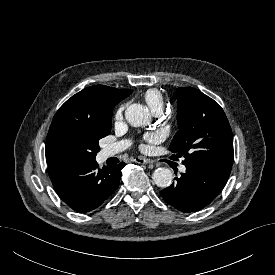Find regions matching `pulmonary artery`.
<instances>
[{
	"label": "pulmonary artery",
	"mask_w": 275,
	"mask_h": 275,
	"mask_svg": "<svg viewBox=\"0 0 275 275\" xmlns=\"http://www.w3.org/2000/svg\"><path fill=\"white\" fill-rule=\"evenodd\" d=\"M161 112H162V109H160V108L153 110V113L155 115H160ZM128 145H129V143L127 141H121L116 144L109 145L104 149V155L106 157L114 156V155L118 154L119 152L125 150L128 147ZM185 170H186L185 166L180 167L181 172H184Z\"/></svg>",
	"instance_id": "e3ab8cb5"
}]
</instances>
